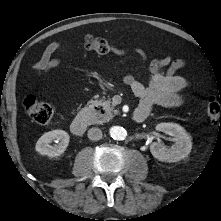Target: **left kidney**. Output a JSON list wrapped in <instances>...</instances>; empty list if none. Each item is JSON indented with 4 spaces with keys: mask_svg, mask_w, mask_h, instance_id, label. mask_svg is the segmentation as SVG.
<instances>
[{
    "mask_svg": "<svg viewBox=\"0 0 221 221\" xmlns=\"http://www.w3.org/2000/svg\"><path fill=\"white\" fill-rule=\"evenodd\" d=\"M156 130L172 136L174 145L167 148L158 142H153L150 145V152L154 158L162 162H178L189 155L192 149L191 137L182 126L164 122L158 124Z\"/></svg>",
    "mask_w": 221,
    "mask_h": 221,
    "instance_id": "left-kidney-1",
    "label": "left kidney"
}]
</instances>
